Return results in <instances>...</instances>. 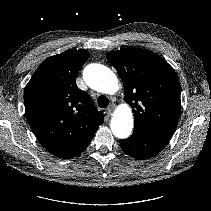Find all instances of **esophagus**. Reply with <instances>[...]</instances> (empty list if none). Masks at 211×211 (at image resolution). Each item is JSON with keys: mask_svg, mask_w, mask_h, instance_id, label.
Here are the masks:
<instances>
[{"mask_svg": "<svg viewBox=\"0 0 211 211\" xmlns=\"http://www.w3.org/2000/svg\"><path fill=\"white\" fill-rule=\"evenodd\" d=\"M114 109H115L114 105L109 106L106 110L107 114L111 115L113 113Z\"/></svg>", "mask_w": 211, "mask_h": 211, "instance_id": "obj_1", "label": "esophagus"}]
</instances>
